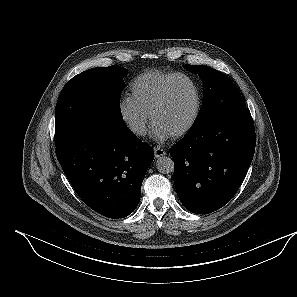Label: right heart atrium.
<instances>
[{"label": "right heart atrium", "mask_w": 297, "mask_h": 297, "mask_svg": "<svg viewBox=\"0 0 297 297\" xmlns=\"http://www.w3.org/2000/svg\"><path fill=\"white\" fill-rule=\"evenodd\" d=\"M120 118L127 129L136 137L146 134L149 118L130 97H124L118 105Z\"/></svg>", "instance_id": "obj_1"}]
</instances>
